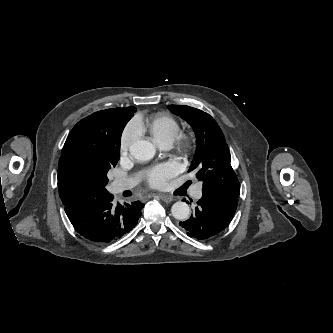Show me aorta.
Listing matches in <instances>:
<instances>
[{"label": "aorta", "instance_id": "1", "mask_svg": "<svg viewBox=\"0 0 333 333\" xmlns=\"http://www.w3.org/2000/svg\"><path fill=\"white\" fill-rule=\"evenodd\" d=\"M156 153L154 145L147 140H139L130 146V154L139 161L151 160ZM171 213L175 219L186 220L190 216V208L183 201L174 203Z\"/></svg>", "mask_w": 333, "mask_h": 333}]
</instances>
